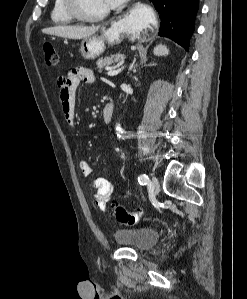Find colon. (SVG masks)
Wrapping results in <instances>:
<instances>
[{"label":"colon","mask_w":247,"mask_h":299,"mask_svg":"<svg viewBox=\"0 0 247 299\" xmlns=\"http://www.w3.org/2000/svg\"><path fill=\"white\" fill-rule=\"evenodd\" d=\"M45 62L48 66H56L59 62V55L50 42H45L43 45ZM114 215L117 221L124 225H135L141 219V212L128 211L123 206L117 205L114 207Z\"/></svg>","instance_id":"colon-1"}]
</instances>
